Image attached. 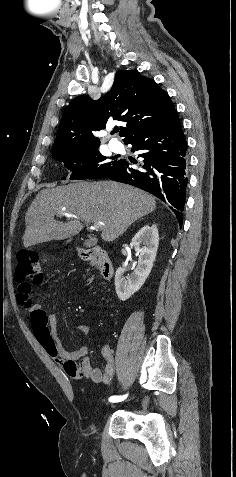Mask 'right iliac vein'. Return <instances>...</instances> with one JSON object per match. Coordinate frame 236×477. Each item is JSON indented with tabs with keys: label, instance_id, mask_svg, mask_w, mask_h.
Returning <instances> with one entry per match:
<instances>
[{
	"label": "right iliac vein",
	"instance_id": "63e3f726",
	"mask_svg": "<svg viewBox=\"0 0 236 477\" xmlns=\"http://www.w3.org/2000/svg\"><path fill=\"white\" fill-rule=\"evenodd\" d=\"M107 408L111 409V410H115L117 407H118V404L117 405H111L109 403H107ZM114 407V408H113ZM109 413L111 412L110 410L108 411Z\"/></svg>",
	"mask_w": 236,
	"mask_h": 477
}]
</instances>
